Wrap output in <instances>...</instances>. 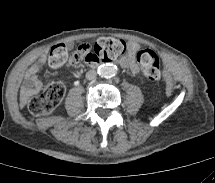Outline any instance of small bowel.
<instances>
[{
  "instance_id": "obj_1",
  "label": "small bowel",
  "mask_w": 215,
  "mask_h": 183,
  "mask_svg": "<svg viewBox=\"0 0 215 183\" xmlns=\"http://www.w3.org/2000/svg\"><path fill=\"white\" fill-rule=\"evenodd\" d=\"M139 50V45L135 42H128L127 44V54L120 59V65L129 70L132 73L138 71V66L136 64V55ZM44 61L41 59L35 64H33L24 79L21 90H20V101L22 104L28 103L29 99L37 94L42 88V81L40 80L38 73L43 66ZM79 63L74 58H70V65L75 66Z\"/></svg>"
}]
</instances>
